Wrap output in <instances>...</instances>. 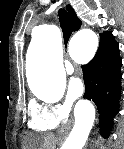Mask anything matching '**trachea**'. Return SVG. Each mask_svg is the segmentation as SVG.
<instances>
[{
	"mask_svg": "<svg viewBox=\"0 0 124 149\" xmlns=\"http://www.w3.org/2000/svg\"><path fill=\"white\" fill-rule=\"evenodd\" d=\"M58 15H59V21L63 32L64 40L68 41L72 34L71 19L65 9H59Z\"/></svg>",
	"mask_w": 124,
	"mask_h": 149,
	"instance_id": "1",
	"label": "trachea"
}]
</instances>
